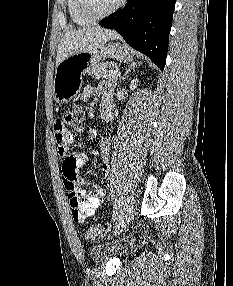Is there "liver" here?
I'll use <instances>...</instances> for the list:
<instances>
[{"instance_id": "obj_1", "label": "liver", "mask_w": 233, "mask_h": 286, "mask_svg": "<svg viewBox=\"0 0 233 286\" xmlns=\"http://www.w3.org/2000/svg\"><path fill=\"white\" fill-rule=\"evenodd\" d=\"M118 38L119 35L116 31L100 26L67 31L58 47L56 67L71 55L95 50L107 41Z\"/></svg>"}]
</instances>
